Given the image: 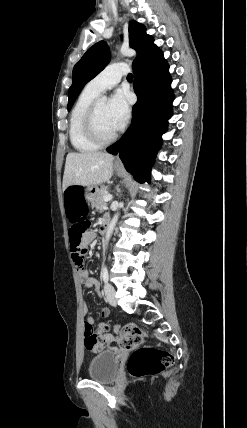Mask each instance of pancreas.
<instances>
[{
  "label": "pancreas",
  "mask_w": 247,
  "mask_h": 428,
  "mask_svg": "<svg viewBox=\"0 0 247 428\" xmlns=\"http://www.w3.org/2000/svg\"><path fill=\"white\" fill-rule=\"evenodd\" d=\"M106 195H108V187L101 186L97 192L95 202L92 204L99 212H102L106 207V202L104 201V196Z\"/></svg>",
  "instance_id": "obj_1"
}]
</instances>
